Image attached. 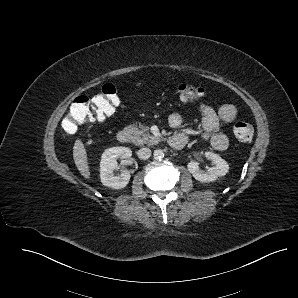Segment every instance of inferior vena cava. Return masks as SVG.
I'll return each instance as SVG.
<instances>
[{"mask_svg":"<svg viewBox=\"0 0 298 298\" xmlns=\"http://www.w3.org/2000/svg\"><path fill=\"white\" fill-rule=\"evenodd\" d=\"M138 158L146 160L151 156V150L149 148H141L137 152Z\"/></svg>","mask_w":298,"mask_h":298,"instance_id":"1","label":"inferior vena cava"}]
</instances>
